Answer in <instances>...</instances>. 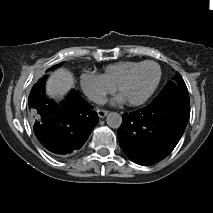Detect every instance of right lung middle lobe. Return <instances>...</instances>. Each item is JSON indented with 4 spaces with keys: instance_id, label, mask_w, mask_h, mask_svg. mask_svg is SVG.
<instances>
[{
    "instance_id": "obj_1",
    "label": "right lung middle lobe",
    "mask_w": 213,
    "mask_h": 213,
    "mask_svg": "<svg viewBox=\"0 0 213 213\" xmlns=\"http://www.w3.org/2000/svg\"><path fill=\"white\" fill-rule=\"evenodd\" d=\"M61 64H62V63L57 64V65H55V66L49 68L48 71L53 70V69H55L56 67H59ZM42 79H45V78H42ZM39 81H40V80H39Z\"/></svg>"
}]
</instances>
